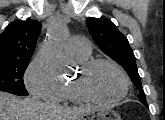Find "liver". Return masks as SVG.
<instances>
[{
  "label": "liver",
  "mask_w": 165,
  "mask_h": 120,
  "mask_svg": "<svg viewBox=\"0 0 165 120\" xmlns=\"http://www.w3.org/2000/svg\"><path fill=\"white\" fill-rule=\"evenodd\" d=\"M90 110V107L63 108L36 98L19 99L0 92V120H81Z\"/></svg>",
  "instance_id": "obj_1"
}]
</instances>
